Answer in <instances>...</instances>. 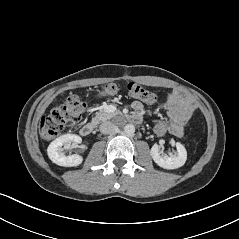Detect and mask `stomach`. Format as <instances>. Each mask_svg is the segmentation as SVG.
Masks as SVG:
<instances>
[{"label":"stomach","mask_w":239,"mask_h":239,"mask_svg":"<svg viewBox=\"0 0 239 239\" xmlns=\"http://www.w3.org/2000/svg\"><path fill=\"white\" fill-rule=\"evenodd\" d=\"M105 95H106L105 92H101V93L99 94V97H102V96H105Z\"/></svg>","instance_id":"1"}]
</instances>
